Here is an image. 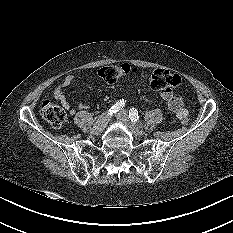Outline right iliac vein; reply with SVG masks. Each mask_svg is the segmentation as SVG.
<instances>
[{"label": "right iliac vein", "mask_w": 233, "mask_h": 233, "mask_svg": "<svg viewBox=\"0 0 233 233\" xmlns=\"http://www.w3.org/2000/svg\"><path fill=\"white\" fill-rule=\"evenodd\" d=\"M108 120H109L108 114L101 115L94 123V125L91 129V133L94 135L101 134L103 132V130L105 129V127L107 126Z\"/></svg>", "instance_id": "1"}]
</instances>
